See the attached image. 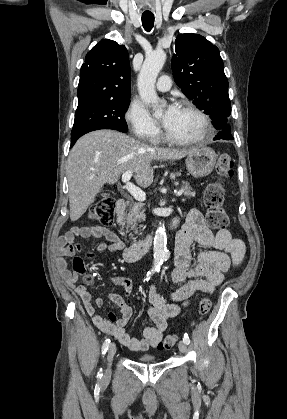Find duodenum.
<instances>
[{
    "label": "duodenum",
    "mask_w": 287,
    "mask_h": 419,
    "mask_svg": "<svg viewBox=\"0 0 287 419\" xmlns=\"http://www.w3.org/2000/svg\"><path fill=\"white\" fill-rule=\"evenodd\" d=\"M127 208V201L120 199L116 203V212L117 214H122ZM153 242V236L149 235L146 238L139 240L128 247L123 251V259L126 262H133L140 259L147 251L150 249Z\"/></svg>",
    "instance_id": "obj_1"
}]
</instances>
